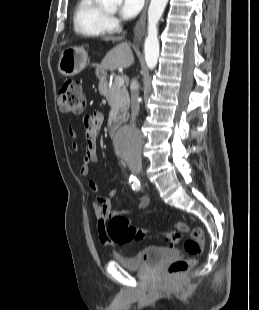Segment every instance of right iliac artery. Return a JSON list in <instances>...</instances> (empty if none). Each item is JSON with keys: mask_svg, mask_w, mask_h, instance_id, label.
<instances>
[{"mask_svg": "<svg viewBox=\"0 0 259 310\" xmlns=\"http://www.w3.org/2000/svg\"><path fill=\"white\" fill-rule=\"evenodd\" d=\"M129 182L133 188V190H140L141 188V184H140V181L137 179V177L131 175L130 178H129Z\"/></svg>", "mask_w": 259, "mask_h": 310, "instance_id": "82829eb1", "label": "right iliac artery"}]
</instances>
